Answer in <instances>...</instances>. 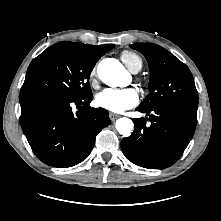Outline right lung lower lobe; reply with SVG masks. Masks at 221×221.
Wrapping results in <instances>:
<instances>
[{
	"label": "right lung lower lobe",
	"mask_w": 221,
	"mask_h": 221,
	"mask_svg": "<svg viewBox=\"0 0 221 221\" xmlns=\"http://www.w3.org/2000/svg\"><path fill=\"white\" fill-rule=\"evenodd\" d=\"M21 126L34 152L45 164L67 168L90 154L96 135L111 123L108 111L91 108L92 94L72 99L49 91L20 93ZM79 109L73 113L72 106Z\"/></svg>",
	"instance_id": "1"
}]
</instances>
